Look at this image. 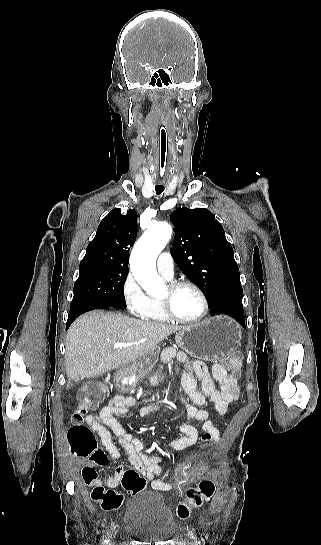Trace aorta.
<instances>
[{
    "mask_svg": "<svg viewBox=\"0 0 321 545\" xmlns=\"http://www.w3.org/2000/svg\"><path fill=\"white\" fill-rule=\"evenodd\" d=\"M171 236L172 227L168 223L151 224L132 250L131 272L149 294L154 295L164 289V282L156 271V260Z\"/></svg>",
    "mask_w": 321,
    "mask_h": 545,
    "instance_id": "762f6f07",
    "label": "aorta"
}]
</instances>
